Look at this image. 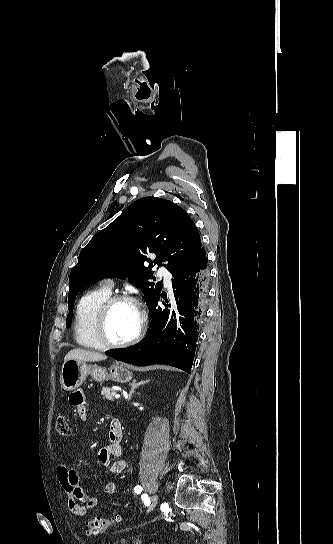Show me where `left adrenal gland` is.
Returning a JSON list of instances; mask_svg holds the SVG:
<instances>
[{
    "label": "left adrenal gland",
    "instance_id": "a2214340",
    "mask_svg": "<svg viewBox=\"0 0 333 544\" xmlns=\"http://www.w3.org/2000/svg\"><path fill=\"white\" fill-rule=\"evenodd\" d=\"M148 382H149V380H145V381H141V382L137 383L136 380H133L132 383L130 384L131 385V390H130V393H129V396H128V400L131 399V397H132V395L134 393V390L136 388H138L139 386L144 385V384H146Z\"/></svg>",
    "mask_w": 333,
    "mask_h": 544
}]
</instances>
